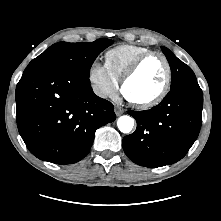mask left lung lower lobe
<instances>
[{
    "label": "left lung lower lobe",
    "instance_id": "obj_1",
    "mask_svg": "<svg viewBox=\"0 0 221 221\" xmlns=\"http://www.w3.org/2000/svg\"><path fill=\"white\" fill-rule=\"evenodd\" d=\"M203 94L197 81L183 83L151 110L128 111L137 121L122 140L125 154L136 164L161 167L182 159L201 128Z\"/></svg>",
    "mask_w": 221,
    "mask_h": 221
}]
</instances>
